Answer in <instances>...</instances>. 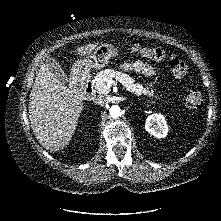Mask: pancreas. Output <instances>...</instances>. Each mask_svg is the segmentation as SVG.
<instances>
[{
	"mask_svg": "<svg viewBox=\"0 0 221 221\" xmlns=\"http://www.w3.org/2000/svg\"><path fill=\"white\" fill-rule=\"evenodd\" d=\"M112 78L122 83L125 89L130 93H134L139 96L145 95L148 97H153L156 100L160 99V97L156 95L153 90L144 88L142 85L135 83V80L128 74H124L113 69H105L96 74L95 88L100 94L105 95L110 92V88L107 87L106 81Z\"/></svg>",
	"mask_w": 221,
	"mask_h": 221,
	"instance_id": "obj_1",
	"label": "pancreas"
}]
</instances>
